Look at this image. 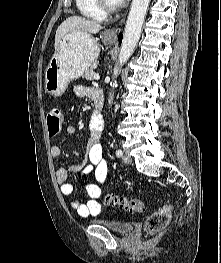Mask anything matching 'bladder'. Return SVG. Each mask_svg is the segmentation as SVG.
I'll return each mask as SVG.
<instances>
[{
    "instance_id": "bladder-1",
    "label": "bladder",
    "mask_w": 221,
    "mask_h": 263,
    "mask_svg": "<svg viewBox=\"0 0 221 263\" xmlns=\"http://www.w3.org/2000/svg\"><path fill=\"white\" fill-rule=\"evenodd\" d=\"M92 222L120 234H126L133 228V224L126 220L94 219Z\"/></svg>"
}]
</instances>
